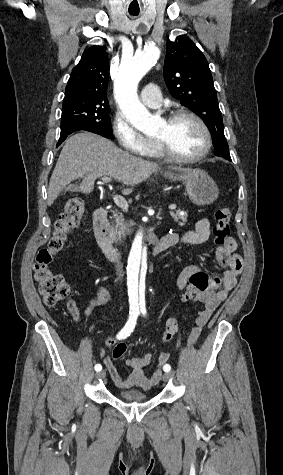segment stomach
<instances>
[{"label": "stomach", "instance_id": "0dacf381", "mask_svg": "<svg viewBox=\"0 0 283 475\" xmlns=\"http://www.w3.org/2000/svg\"><path fill=\"white\" fill-rule=\"evenodd\" d=\"M164 178L171 182H182L193 204L196 206H208L213 204L219 196V190L212 178L204 170H187V172H164Z\"/></svg>", "mask_w": 283, "mask_h": 475}]
</instances>
